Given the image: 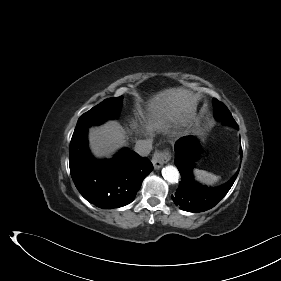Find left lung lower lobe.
Masks as SVG:
<instances>
[{"label":"left lung lower lobe","mask_w":281,"mask_h":281,"mask_svg":"<svg viewBox=\"0 0 281 281\" xmlns=\"http://www.w3.org/2000/svg\"><path fill=\"white\" fill-rule=\"evenodd\" d=\"M175 164L181 174V182L171 196L180 209L188 212H202L214 207L230 190L238 172L225 185L208 188L198 184L192 176L194 161L197 159L200 147L192 136L180 138L175 143ZM242 154V151H241Z\"/></svg>","instance_id":"1"}]
</instances>
